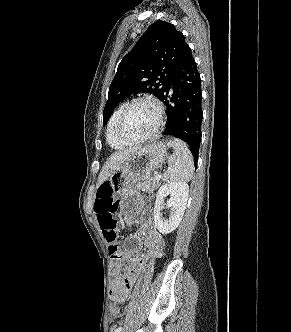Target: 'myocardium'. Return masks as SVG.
<instances>
[{"label":"myocardium","instance_id":"f54148a6","mask_svg":"<svg viewBox=\"0 0 291 332\" xmlns=\"http://www.w3.org/2000/svg\"><path fill=\"white\" fill-rule=\"evenodd\" d=\"M142 102L150 103L151 105H153L155 107L157 116H158V124H157L156 129L151 134H149L145 137H141V138H130L127 135H125L123 132L124 118H125L127 112L135 104L142 103ZM164 125H165V112H164V107L161 104V102L150 96H142V97H137V98L132 99L123 107V109L120 112L119 117L117 119L116 132H117L118 137L122 141L129 143V144H139V143H143V142L156 138L163 130Z\"/></svg>","mask_w":291,"mask_h":332}]
</instances>
